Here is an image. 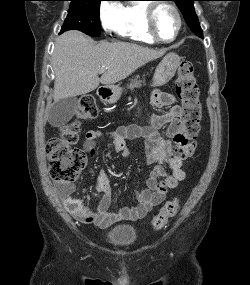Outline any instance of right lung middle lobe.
I'll return each mask as SVG.
<instances>
[{"label": "right lung middle lobe", "mask_w": 250, "mask_h": 285, "mask_svg": "<svg viewBox=\"0 0 250 285\" xmlns=\"http://www.w3.org/2000/svg\"><path fill=\"white\" fill-rule=\"evenodd\" d=\"M69 1L70 9L61 32L77 29L92 37H98L101 32L99 6L102 0Z\"/></svg>", "instance_id": "right-lung-middle-lobe-1"}]
</instances>
